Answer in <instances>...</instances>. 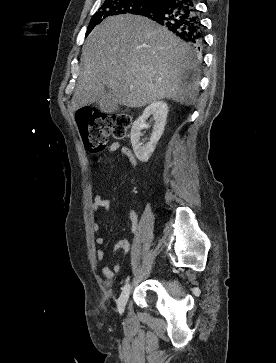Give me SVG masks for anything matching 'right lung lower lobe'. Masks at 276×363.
Instances as JSON below:
<instances>
[{
    "instance_id": "1",
    "label": "right lung lower lobe",
    "mask_w": 276,
    "mask_h": 363,
    "mask_svg": "<svg viewBox=\"0 0 276 363\" xmlns=\"http://www.w3.org/2000/svg\"><path fill=\"white\" fill-rule=\"evenodd\" d=\"M139 15L163 25L195 49H202V25L194 0H160Z\"/></svg>"
}]
</instances>
